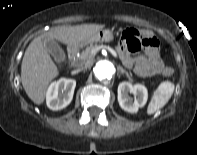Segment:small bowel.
<instances>
[{"label":"small bowel","instance_id":"c3829d8e","mask_svg":"<svg viewBox=\"0 0 197 155\" xmlns=\"http://www.w3.org/2000/svg\"><path fill=\"white\" fill-rule=\"evenodd\" d=\"M118 53L123 64L134 70L143 78L162 73L164 64L158 53V46H150L144 54L133 56L128 48L127 41L122 38L118 45Z\"/></svg>","mask_w":197,"mask_h":155}]
</instances>
